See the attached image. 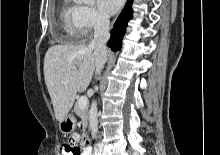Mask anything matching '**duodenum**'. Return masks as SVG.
Returning <instances> with one entry per match:
<instances>
[{
    "label": "duodenum",
    "mask_w": 220,
    "mask_h": 155,
    "mask_svg": "<svg viewBox=\"0 0 220 155\" xmlns=\"http://www.w3.org/2000/svg\"><path fill=\"white\" fill-rule=\"evenodd\" d=\"M86 139H88L87 137H86ZM85 139V140H86ZM86 152H87V154L89 155L90 154V149L88 148L87 150H86Z\"/></svg>",
    "instance_id": "duodenum-1"
}]
</instances>
